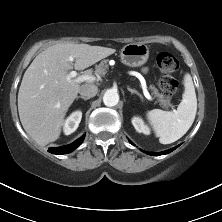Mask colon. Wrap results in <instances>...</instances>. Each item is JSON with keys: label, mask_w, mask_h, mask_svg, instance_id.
Returning <instances> with one entry per match:
<instances>
[{"label": "colon", "mask_w": 222, "mask_h": 222, "mask_svg": "<svg viewBox=\"0 0 222 222\" xmlns=\"http://www.w3.org/2000/svg\"><path fill=\"white\" fill-rule=\"evenodd\" d=\"M156 64L160 71L159 89L166 97H173L179 93V83L173 74L179 69V61L170 53L161 52L156 57Z\"/></svg>", "instance_id": "obj_1"}]
</instances>
